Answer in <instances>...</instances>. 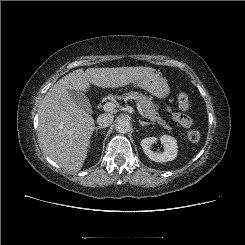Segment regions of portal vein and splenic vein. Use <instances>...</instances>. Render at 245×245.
<instances>
[{
  "instance_id": "18ae733b",
  "label": "portal vein and splenic vein",
  "mask_w": 245,
  "mask_h": 245,
  "mask_svg": "<svg viewBox=\"0 0 245 245\" xmlns=\"http://www.w3.org/2000/svg\"><path fill=\"white\" fill-rule=\"evenodd\" d=\"M114 107H115V106H114V103H112V102H106V103L103 105V110L109 112V111H112V110L114 109ZM137 109H138L140 115H141L142 117H145V114H144L142 108H141L140 105H138V104H137Z\"/></svg>"
}]
</instances>
